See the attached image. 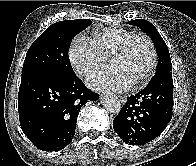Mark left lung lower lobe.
<instances>
[{"mask_svg":"<svg viewBox=\"0 0 196 166\" xmlns=\"http://www.w3.org/2000/svg\"><path fill=\"white\" fill-rule=\"evenodd\" d=\"M172 106V72L157 74L141 92L128 97L113 121V128L130 145L148 143L170 122Z\"/></svg>","mask_w":196,"mask_h":166,"instance_id":"0a47b994","label":"left lung lower lobe"}]
</instances>
